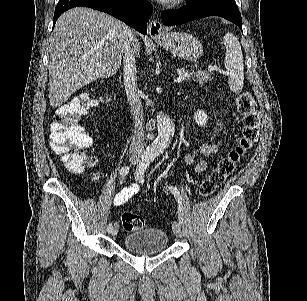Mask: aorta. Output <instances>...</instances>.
I'll use <instances>...</instances> for the list:
<instances>
[{"label": "aorta", "mask_w": 307, "mask_h": 301, "mask_svg": "<svg viewBox=\"0 0 307 301\" xmlns=\"http://www.w3.org/2000/svg\"><path fill=\"white\" fill-rule=\"evenodd\" d=\"M157 130V138H155L150 148H148V151H151V153H161L175 132L173 120L168 118L164 112L157 114Z\"/></svg>", "instance_id": "1"}]
</instances>
